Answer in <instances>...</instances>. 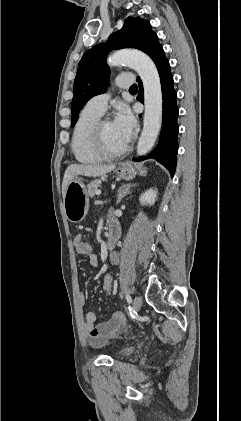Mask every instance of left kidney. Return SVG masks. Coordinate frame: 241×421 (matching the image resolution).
<instances>
[{
  "label": "left kidney",
  "mask_w": 241,
  "mask_h": 421,
  "mask_svg": "<svg viewBox=\"0 0 241 421\" xmlns=\"http://www.w3.org/2000/svg\"><path fill=\"white\" fill-rule=\"evenodd\" d=\"M156 198H157V191L150 188L149 190H147L143 194H141V196L139 198V201H140V204L142 206H144V205L151 206L155 203Z\"/></svg>",
  "instance_id": "left-kidney-1"
}]
</instances>
